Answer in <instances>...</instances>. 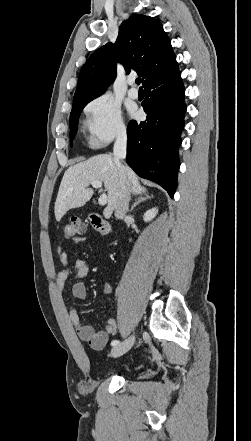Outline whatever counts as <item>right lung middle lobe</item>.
I'll return each instance as SVG.
<instances>
[{"mask_svg": "<svg viewBox=\"0 0 251 441\" xmlns=\"http://www.w3.org/2000/svg\"><path fill=\"white\" fill-rule=\"evenodd\" d=\"M94 98H85L73 101V108L70 114V139L75 137L78 129V120L83 108Z\"/></svg>", "mask_w": 251, "mask_h": 441, "instance_id": "dd1d6c3e", "label": "right lung middle lobe"}]
</instances>
